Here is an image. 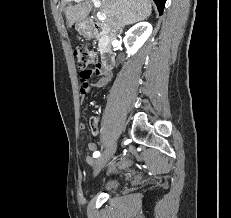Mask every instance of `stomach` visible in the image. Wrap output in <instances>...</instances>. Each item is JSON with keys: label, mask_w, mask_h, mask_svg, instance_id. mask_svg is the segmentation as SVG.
Wrapping results in <instances>:
<instances>
[{"label": "stomach", "mask_w": 231, "mask_h": 218, "mask_svg": "<svg viewBox=\"0 0 231 218\" xmlns=\"http://www.w3.org/2000/svg\"><path fill=\"white\" fill-rule=\"evenodd\" d=\"M75 28L79 32V34H81V35H86L87 34L86 23L79 22V23L76 24Z\"/></svg>", "instance_id": "0dacf381"}]
</instances>
